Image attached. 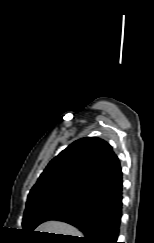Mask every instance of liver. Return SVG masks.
I'll return each instance as SVG.
<instances>
[{"mask_svg": "<svg viewBox=\"0 0 154 243\" xmlns=\"http://www.w3.org/2000/svg\"><path fill=\"white\" fill-rule=\"evenodd\" d=\"M36 231L82 237V233L75 227L60 221L44 222Z\"/></svg>", "mask_w": 154, "mask_h": 243, "instance_id": "1", "label": "liver"}]
</instances>
